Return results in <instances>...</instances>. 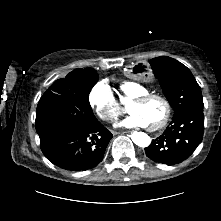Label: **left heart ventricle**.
<instances>
[{"mask_svg": "<svg viewBox=\"0 0 221 221\" xmlns=\"http://www.w3.org/2000/svg\"><path fill=\"white\" fill-rule=\"evenodd\" d=\"M128 110L132 114H138L141 116L145 120L147 126L151 127L162 120L166 108L160 99L154 98L145 104H130Z\"/></svg>", "mask_w": 221, "mask_h": 221, "instance_id": "b2bd125f", "label": "left heart ventricle"}]
</instances>
